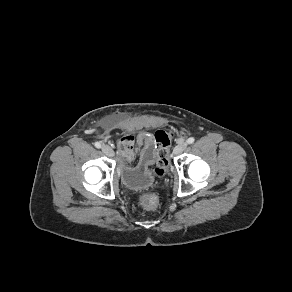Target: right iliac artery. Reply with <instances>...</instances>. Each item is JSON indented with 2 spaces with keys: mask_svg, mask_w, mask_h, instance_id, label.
I'll return each instance as SVG.
<instances>
[{
  "mask_svg": "<svg viewBox=\"0 0 292 292\" xmlns=\"http://www.w3.org/2000/svg\"><path fill=\"white\" fill-rule=\"evenodd\" d=\"M94 145L96 148H101V144L99 142H95Z\"/></svg>",
  "mask_w": 292,
  "mask_h": 292,
  "instance_id": "right-iliac-artery-1",
  "label": "right iliac artery"
}]
</instances>
